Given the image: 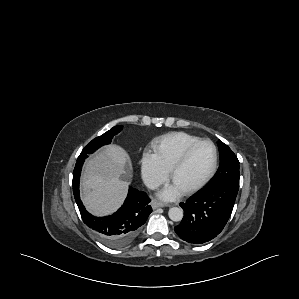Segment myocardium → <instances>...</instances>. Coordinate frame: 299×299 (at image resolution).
Returning <instances> with one entry per match:
<instances>
[{"label": "myocardium", "instance_id": "myocardium-1", "mask_svg": "<svg viewBox=\"0 0 299 299\" xmlns=\"http://www.w3.org/2000/svg\"><path fill=\"white\" fill-rule=\"evenodd\" d=\"M204 143H208L213 147V150H214L213 165H212L209 173L200 182H198L197 184L182 191L185 194L194 193V192L198 191L199 189H201L202 187H204L216 173V170L218 167V160H219V153H218V148H217L216 144L209 139H202V140H199V141L193 143L181 154V156L178 158V160L174 163V165L170 169V179H171V181H173L176 173L185 165V163L189 159L192 152L198 146H200L201 144H204Z\"/></svg>", "mask_w": 299, "mask_h": 299}]
</instances>
